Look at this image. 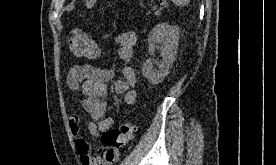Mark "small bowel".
<instances>
[{"label": "small bowel", "mask_w": 276, "mask_h": 165, "mask_svg": "<svg viewBox=\"0 0 276 165\" xmlns=\"http://www.w3.org/2000/svg\"><path fill=\"white\" fill-rule=\"evenodd\" d=\"M137 38L133 32H123L116 38L119 47L118 58L126 65L123 68V79L114 81L113 87L116 94L122 95L126 104L132 105L136 101V91L133 86L136 73L129 65L133 58ZM113 71L107 67L93 64L74 65L68 72L66 82L71 90L81 94L82 108L89 114L88 131L95 137L109 131L114 120L106 115L107 84L113 79ZM69 126L74 138L76 151L81 165H113L118 159V151L112 156L101 148L97 155H92L89 143L82 137L80 131V118L76 115L70 117Z\"/></svg>", "instance_id": "small-bowel-1"}]
</instances>
